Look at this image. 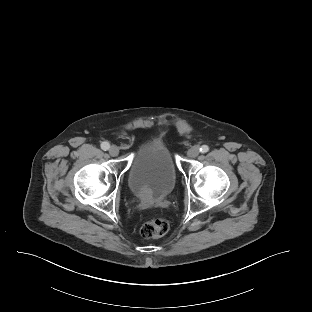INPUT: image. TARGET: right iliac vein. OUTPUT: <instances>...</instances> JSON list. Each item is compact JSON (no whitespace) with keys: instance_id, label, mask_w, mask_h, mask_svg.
I'll list each match as a JSON object with an SVG mask.
<instances>
[{"instance_id":"obj_1","label":"right iliac vein","mask_w":312,"mask_h":312,"mask_svg":"<svg viewBox=\"0 0 312 312\" xmlns=\"http://www.w3.org/2000/svg\"><path fill=\"white\" fill-rule=\"evenodd\" d=\"M109 153L111 156H117L119 154V148L115 145H112L110 148H109Z\"/></svg>"}]
</instances>
